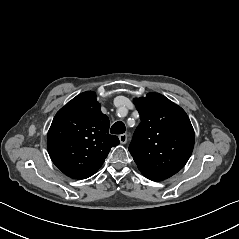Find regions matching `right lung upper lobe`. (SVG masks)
Returning a JSON list of instances; mask_svg holds the SVG:
<instances>
[{"label":"right lung upper lobe","mask_w":239,"mask_h":239,"mask_svg":"<svg viewBox=\"0 0 239 239\" xmlns=\"http://www.w3.org/2000/svg\"><path fill=\"white\" fill-rule=\"evenodd\" d=\"M109 126L95 92L79 94L52 121L47 136L51 160L73 179L92 176L102 166L111 147L119 144L118 137L109 134Z\"/></svg>","instance_id":"1"}]
</instances>
